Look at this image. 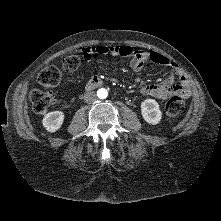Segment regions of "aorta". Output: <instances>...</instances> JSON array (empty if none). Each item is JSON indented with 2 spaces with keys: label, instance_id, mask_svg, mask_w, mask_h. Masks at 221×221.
<instances>
[{
  "label": "aorta",
  "instance_id": "aorta-1",
  "mask_svg": "<svg viewBox=\"0 0 221 221\" xmlns=\"http://www.w3.org/2000/svg\"><path fill=\"white\" fill-rule=\"evenodd\" d=\"M97 96L100 98V99H105L107 96H108V92L106 89L104 88H101L97 91Z\"/></svg>",
  "mask_w": 221,
  "mask_h": 221
}]
</instances>
